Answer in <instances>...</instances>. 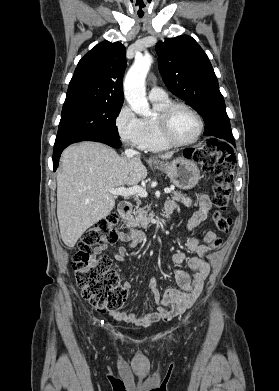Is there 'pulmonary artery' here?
<instances>
[{
    "label": "pulmonary artery",
    "mask_w": 279,
    "mask_h": 391,
    "mask_svg": "<svg viewBox=\"0 0 279 391\" xmlns=\"http://www.w3.org/2000/svg\"><path fill=\"white\" fill-rule=\"evenodd\" d=\"M148 97L151 101L164 100L168 98L167 93L162 88L157 86L151 87Z\"/></svg>",
    "instance_id": "1"
}]
</instances>
